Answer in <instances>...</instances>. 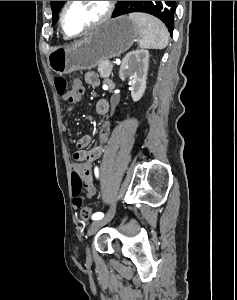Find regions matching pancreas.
I'll use <instances>...</instances> for the list:
<instances>
[{"label":"pancreas","mask_w":237,"mask_h":300,"mask_svg":"<svg viewBox=\"0 0 237 300\" xmlns=\"http://www.w3.org/2000/svg\"><path fill=\"white\" fill-rule=\"evenodd\" d=\"M108 63L109 61H102V63H98L97 71L100 73L101 77H109V75H111L113 67L111 69L107 68V65H109Z\"/></svg>","instance_id":"cf45deb5"}]
</instances>
